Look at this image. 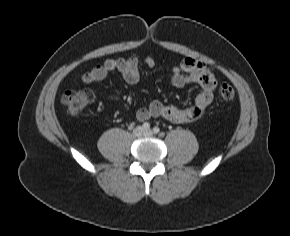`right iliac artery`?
I'll use <instances>...</instances> for the list:
<instances>
[{
    "mask_svg": "<svg viewBox=\"0 0 290 236\" xmlns=\"http://www.w3.org/2000/svg\"><path fill=\"white\" fill-rule=\"evenodd\" d=\"M142 127H143V129H145V130H149V129H150V124H149L148 122H144V123L142 124Z\"/></svg>",
    "mask_w": 290,
    "mask_h": 236,
    "instance_id": "1",
    "label": "right iliac artery"
}]
</instances>
